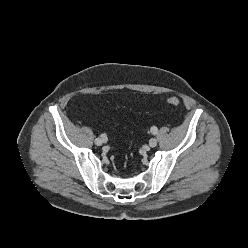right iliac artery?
<instances>
[{
	"instance_id": "right-iliac-artery-1",
	"label": "right iliac artery",
	"mask_w": 248,
	"mask_h": 248,
	"mask_svg": "<svg viewBox=\"0 0 248 248\" xmlns=\"http://www.w3.org/2000/svg\"><path fill=\"white\" fill-rule=\"evenodd\" d=\"M93 140L95 141V144H96L97 146H100V145L102 144L101 139H99V138H97V137H95Z\"/></svg>"
}]
</instances>
